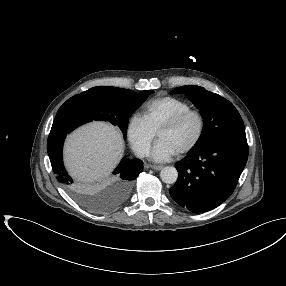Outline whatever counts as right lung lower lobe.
Instances as JSON below:
<instances>
[{
	"label": "right lung lower lobe",
	"instance_id": "right-lung-lower-lobe-1",
	"mask_svg": "<svg viewBox=\"0 0 286 286\" xmlns=\"http://www.w3.org/2000/svg\"><path fill=\"white\" fill-rule=\"evenodd\" d=\"M71 131L62 129L53 123L50 135L47 141V151L50 158L52 169L56 175V179L68 190L74 192L77 186L74 184L73 179L66 172L63 161H62V147L63 142ZM143 170V163L138 159H122L118 167L115 169L113 174L116 175L117 179L115 182V187L117 190L116 198L113 202L105 204L106 209L113 207L123 201L119 200L120 189L122 188V196H126L128 193L132 181L137 178V176Z\"/></svg>",
	"mask_w": 286,
	"mask_h": 286
}]
</instances>
